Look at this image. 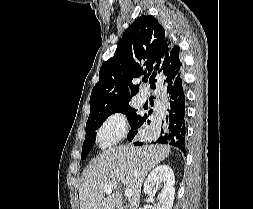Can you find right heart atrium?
<instances>
[{"label": "right heart atrium", "instance_id": "right-heart-atrium-1", "mask_svg": "<svg viewBox=\"0 0 253 209\" xmlns=\"http://www.w3.org/2000/svg\"><path fill=\"white\" fill-rule=\"evenodd\" d=\"M127 118L122 113L109 115L96 133V141L102 149L119 143L127 134Z\"/></svg>", "mask_w": 253, "mask_h": 209}]
</instances>
